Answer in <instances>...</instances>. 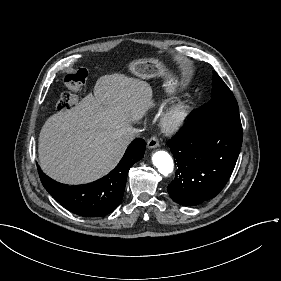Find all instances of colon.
<instances>
[{
    "label": "colon",
    "instance_id": "colon-1",
    "mask_svg": "<svg viewBox=\"0 0 281 281\" xmlns=\"http://www.w3.org/2000/svg\"><path fill=\"white\" fill-rule=\"evenodd\" d=\"M87 76L88 70L84 67H78L74 71L65 74L63 84L67 89L60 94L57 100V109L59 111L65 112L75 107L77 103L75 91L84 85Z\"/></svg>",
    "mask_w": 281,
    "mask_h": 281
}]
</instances>
